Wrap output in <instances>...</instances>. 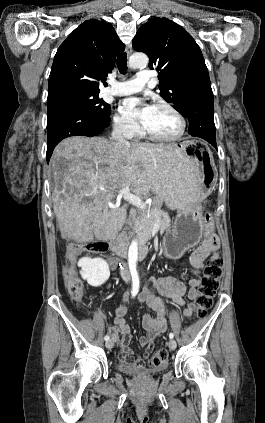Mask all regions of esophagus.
Segmentation results:
<instances>
[{"instance_id":"1","label":"esophagus","mask_w":265,"mask_h":423,"mask_svg":"<svg viewBox=\"0 0 265 423\" xmlns=\"http://www.w3.org/2000/svg\"><path fill=\"white\" fill-rule=\"evenodd\" d=\"M126 53H127L128 56L131 55V53H132V45L131 44H128L127 45V47H126Z\"/></svg>"}]
</instances>
